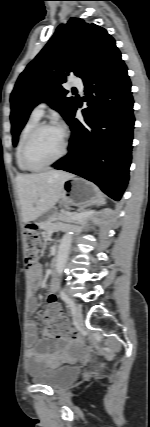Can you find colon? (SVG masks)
<instances>
[{
	"instance_id": "obj_1",
	"label": "colon",
	"mask_w": 150,
	"mask_h": 427,
	"mask_svg": "<svg viewBox=\"0 0 150 427\" xmlns=\"http://www.w3.org/2000/svg\"><path fill=\"white\" fill-rule=\"evenodd\" d=\"M27 242L25 263L28 269H33L38 262L41 250V239L35 224H27L24 229ZM47 323V334L56 338L67 337L77 339L76 334L68 327L59 307L56 305L54 294L48 296V307L43 315Z\"/></svg>"
}]
</instances>
